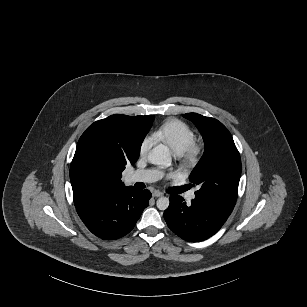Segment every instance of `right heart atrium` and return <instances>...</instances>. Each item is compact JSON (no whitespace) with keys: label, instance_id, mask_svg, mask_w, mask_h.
I'll return each mask as SVG.
<instances>
[{"label":"right heart atrium","instance_id":"obj_1","mask_svg":"<svg viewBox=\"0 0 307 307\" xmlns=\"http://www.w3.org/2000/svg\"><path fill=\"white\" fill-rule=\"evenodd\" d=\"M154 144L153 138H145L139 148V153L145 155Z\"/></svg>","mask_w":307,"mask_h":307}]
</instances>
